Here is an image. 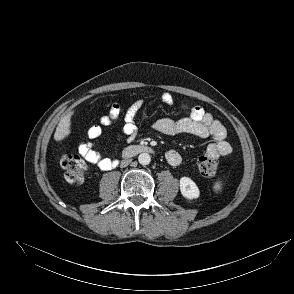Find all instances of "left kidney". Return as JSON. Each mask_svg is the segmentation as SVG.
<instances>
[{
	"label": "left kidney",
	"instance_id": "1",
	"mask_svg": "<svg viewBox=\"0 0 294 294\" xmlns=\"http://www.w3.org/2000/svg\"><path fill=\"white\" fill-rule=\"evenodd\" d=\"M180 191L181 194L189 200L196 199L200 195V191L196 183L189 177H182L180 179Z\"/></svg>",
	"mask_w": 294,
	"mask_h": 294
}]
</instances>
